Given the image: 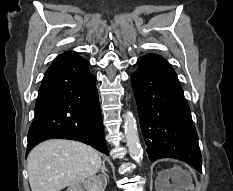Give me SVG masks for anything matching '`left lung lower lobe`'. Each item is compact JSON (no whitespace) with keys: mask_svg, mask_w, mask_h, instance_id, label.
Wrapping results in <instances>:
<instances>
[{"mask_svg":"<svg viewBox=\"0 0 233 191\" xmlns=\"http://www.w3.org/2000/svg\"><path fill=\"white\" fill-rule=\"evenodd\" d=\"M137 62L130 78L149 160L175 158L202 172L198 135L174 69L156 54Z\"/></svg>","mask_w":233,"mask_h":191,"instance_id":"1","label":"left lung lower lobe"}]
</instances>
